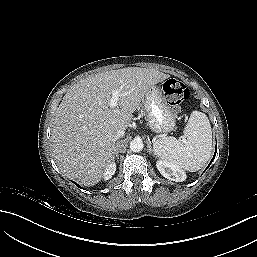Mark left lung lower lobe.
<instances>
[{"mask_svg":"<svg viewBox=\"0 0 257 257\" xmlns=\"http://www.w3.org/2000/svg\"><path fill=\"white\" fill-rule=\"evenodd\" d=\"M216 151H217V149L215 150V154H214V156H213L212 160L210 161L209 165L207 166V168L210 166V164L212 163L213 159L215 158ZM207 168H206V169H207ZM206 169H205V170H206Z\"/></svg>","mask_w":257,"mask_h":257,"instance_id":"obj_1","label":"left lung lower lobe"}]
</instances>
